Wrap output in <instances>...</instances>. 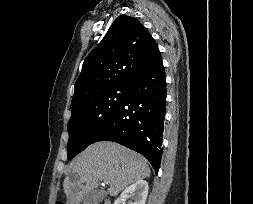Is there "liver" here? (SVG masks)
Returning a JSON list of instances; mask_svg holds the SVG:
<instances>
[{
	"label": "liver",
	"mask_w": 253,
	"mask_h": 204,
	"mask_svg": "<svg viewBox=\"0 0 253 204\" xmlns=\"http://www.w3.org/2000/svg\"><path fill=\"white\" fill-rule=\"evenodd\" d=\"M147 161L141 155L113 142L88 146L72 161L63 189L66 204H81L85 194L106 183L108 194L116 196L130 184L150 176Z\"/></svg>",
	"instance_id": "1"
}]
</instances>
